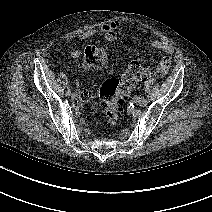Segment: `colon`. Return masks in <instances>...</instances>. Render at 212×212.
<instances>
[{
  "label": "colon",
  "instance_id": "obj_1",
  "mask_svg": "<svg viewBox=\"0 0 212 212\" xmlns=\"http://www.w3.org/2000/svg\"><path fill=\"white\" fill-rule=\"evenodd\" d=\"M107 59L108 51L105 46H89L82 54V68L88 70L94 67H102ZM150 73V69L143 63L133 61L123 72L120 80L109 78L101 84L99 89L100 110L105 115L109 126L117 125L123 105L128 99L132 88L148 77Z\"/></svg>",
  "mask_w": 212,
  "mask_h": 212
}]
</instances>
